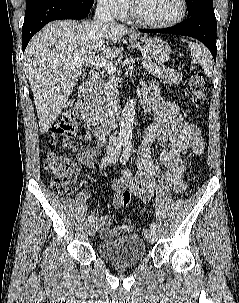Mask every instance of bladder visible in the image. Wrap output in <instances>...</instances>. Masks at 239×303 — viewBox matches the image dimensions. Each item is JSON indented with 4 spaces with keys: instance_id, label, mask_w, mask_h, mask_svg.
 <instances>
[{
    "instance_id": "bladder-1",
    "label": "bladder",
    "mask_w": 239,
    "mask_h": 303,
    "mask_svg": "<svg viewBox=\"0 0 239 303\" xmlns=\"http://www.w3.org/2000/svg\"><path fill=\"white\" fill-rule=\"evenodd\" d=\"M98 253L116 266H130L144 257L145 244L139 234H128L99 243Z\"/></svg>"
}]
</instances>
